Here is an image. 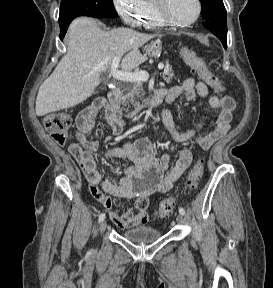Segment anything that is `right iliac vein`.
<instances>
[{
    "label": "right iliac vein",
    "mask_w": 273,
    "mask_h": 288,
    "mask_svg": "<svg viewBox=\"0 0 273 288\" xmlns=\"http://www.w3.org/2000/svg\"><path fill=\"white\" fill-rule=\"evenodd\" d=\"M106 226H107L106 221L103 220V221L101 222L100 226H99V231H100L101 234L105 231Z\"/></svg>",
    "instance_id": "obj_1"
}]
</instances>
